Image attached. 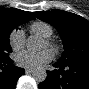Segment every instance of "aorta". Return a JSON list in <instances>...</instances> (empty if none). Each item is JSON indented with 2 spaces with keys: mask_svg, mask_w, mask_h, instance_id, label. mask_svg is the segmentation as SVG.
Returning <instances> with one entry per match:
<instances>
[{
  "mask_svg": "<svg viewBox=\"0 0 89 89\" xmlns=\"http://www.w3.org/2000/svg\"><path fill=\"white\" fill-rule=\"evenodd\" d=\"M41 47H42L41 40L37 36L31 35L27 38L26 48L29 51H38ZM32 77L37 82H43L47 77V72L44 68L39 67L33 71Z\"/></svg>",
  "mask_w": 89,
  "mask_h": 89,
  "instance_id": "762f6f07",
  "label": "aorta"
}]
</instances>
